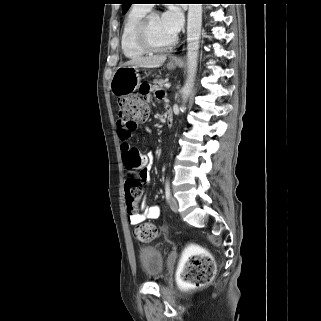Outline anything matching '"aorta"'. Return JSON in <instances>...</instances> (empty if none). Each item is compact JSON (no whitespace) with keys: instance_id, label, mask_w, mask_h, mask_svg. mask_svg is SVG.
<instances>
[{"instance_id":"1","label":"aorta","mask_w":321,"mask_h":321,"mask_svg":"<svg viewBox=\"0 0 321 321\" xmlns=\"http://www.w3.org/2000/svg\"><path fill=\"white\" fill-rule=\"evenodd\" d=\"M201 25L202 4H189L187 17V80L182 90L184 101L191 93L197 71Z\"/></svg>"}]
</instances>
